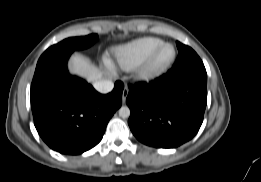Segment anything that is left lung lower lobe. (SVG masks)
I'll list each match as a JSON object with an SVG mask.
<instances>
[{
    "mask_svg": "<svg viewBox=\"0 0 261 182\" xmlns=\"http://www.w3.org/2000/svg\"><path fill=\"white\" fill-rule=\"evenodd\" d=\"M126 103L134 136L156 148H176L198 132L207 104V73L192 69L131 86Z\"/></svg>",
    "mask_w": 261,
    "mask_h": 182,
    "instance_id": "1",
    "label": "left lung lower lobe"
}]
</instances>
